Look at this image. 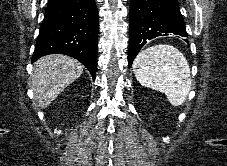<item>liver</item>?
Wrapping results in <instances>:
<instances>
[{"instance_id": "1", "label": "liver", "mask_w": 227, "mask_h": 166, "mask_svg": "<svg viewBox=\"0 0 227 166\" xmlns=\"http://www.w3.org/2000/svg\"><path fill=\"white\" fill-rule=\"evenodd\" d=\"M77 60L61 54L40 58L34 65L32 89L40 108L48 107L83 72Z\"/></svg>"}]
</instances>
